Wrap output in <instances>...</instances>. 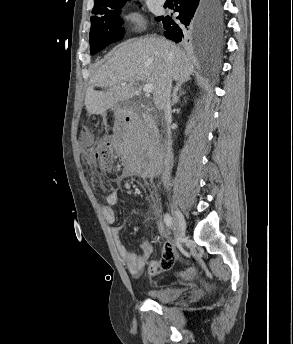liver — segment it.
<instances>
[{"label":"liver","instance_id":"6515ba94","mask_svg":"<svg viewBox=\"0 0 293 344\" xmlns=\"http://www.w3.org/2000/svg\"><path fill=\"white\" fill-rule=\"evenodd\" d=\"M193 71L191 57L171 41L155 36L127 41L90 79L86 109L90 114H104L118 103L131 99L139 82L154 86V104L162 109L160 93L166 79L185 82ZM95 87L107 90L96 91Z\"/></svg>","mask_w":293,"mask_h":344}]
</instances>
